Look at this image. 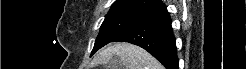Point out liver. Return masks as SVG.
Segmentation results:
<instances>
[{
  "instance_id": "obj_1",
  "label": "liver",
  "mask_w": 246,
  "mask_h": 69,
  "mask_svg": "<svg viewBox=\"0 0 246 69\" xmlns=\"http://www.w3.org/2000/svg\"><path fill=\"white\" fill-rule=\"evenodd\" d=\"M114 55L119 58L116 69H163V66L147 51L129 43H114L97 56L100 64L106 65Z\"/></svg>"
}]
</instances>
